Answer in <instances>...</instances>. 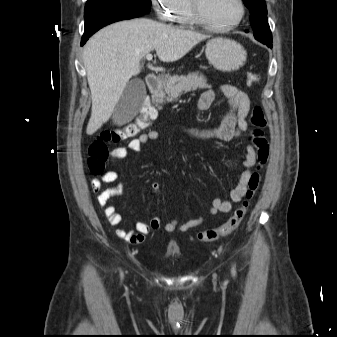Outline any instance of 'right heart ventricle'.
<instances>
[{
    "label": "right heart ventricle",
    "mask_w": 337,
    "mask_h": 337,
    "mask_svg": "<svg viewBox=\"0 0 337 337\" xmlns=\"http://www.w3.org/2000/svg\"><path fill=\"white\" fill-rule=\"evenodd\" d=\"M173 20L183 26H191L197 24L193 18L189 0H180L179 6L174 13Z\"/></svg>",
    "instance_id": "right-heart-ventricle-1"
}]
</instances>
